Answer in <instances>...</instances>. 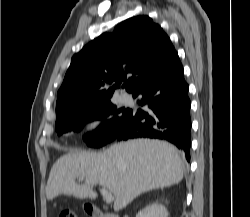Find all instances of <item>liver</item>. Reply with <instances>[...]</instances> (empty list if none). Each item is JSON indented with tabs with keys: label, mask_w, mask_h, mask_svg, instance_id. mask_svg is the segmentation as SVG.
I'll use <instances>...</instances> for the list:
<instances>
[{
	"label": "liver",
	"mask_w": 250,
	"mask_h": 217,
	"mask_svg": "<svg viewBox=\"0 0 250 217\" xmlns=\"http://www.w3.org/2000/svg\"><path fill=\"white\" fill-rule=\"evenodd\" d=\"M183 170L178 150L160 140H128L99 153L75 150L52 166L46 196L48 200L60 194L93 200L97 197L93 186L100 185L113 193L117 212L142 193L179 183ZM77 177L85 183L77 184Z\"/></svg>",
	"instance_id": "6515ba94"
}]
</instances>
